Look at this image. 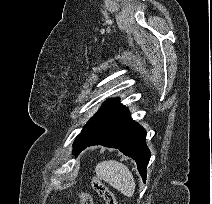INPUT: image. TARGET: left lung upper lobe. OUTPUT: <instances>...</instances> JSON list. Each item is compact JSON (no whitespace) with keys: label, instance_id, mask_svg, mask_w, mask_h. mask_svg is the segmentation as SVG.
<instances>
[{"label":"left lung upper lobe","instance_id":"left-lung-upper-lobe-1","mask_svg":"<svg viewBox=\"0 0 212 204\" xmlns=\"http://www.w3.org/2000/svg\"><path fill=\"white\" fill-rule=\"evenodd\" d=\"M119 105L117 99H109L106 101V103L103 105L101 110L94 116L93 119L89 121V123L83 128L82 131L87 130L90 126L98 122L101 118H103L107 113L112 111L114 108H116Z\"/></svg>","mask_w":212,"mask_h":204}]
</instances>
